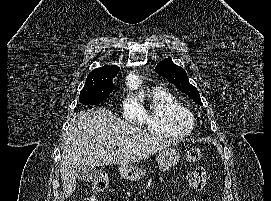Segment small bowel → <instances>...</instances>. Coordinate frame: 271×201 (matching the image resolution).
Returning a JSON list of instances; mask_svg holds the SVG:
<instances>
[{"label":"small bowel","mask_w":271,"mask_h":201,"mask_svg":"<svg viewBox=\"0 0 271 201\" xmlns=\"http://www.w3.org/2000/svg\"><path fill=\"white\" fill-rule=\"evenodd\" d=\"M209 180V175L203 168L195 169L187 177L188 185L195 190L204 189Z\"/></svg>","instance_id":"small-bowel-1"}]
</instances>
